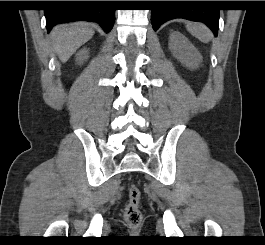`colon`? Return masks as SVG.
<instances>
[{
	"instance_id": "5ec220e1",
	"label": "colon",
	"mask_w": 265,
	"mask_h": 245,
	"mask_svg": "<svg viewBox=\"0 0 265 245\" xmlns=\"http://www.w3.org/2000/svg\"><path fill=\"white\" fill-rule=\"evenodd\" d=\"M141 192L138 187L132 185L129 188V201L124 209V218L130 227L136 229L142 222L140 210Z\"/></svg>"
}]
</instances>
